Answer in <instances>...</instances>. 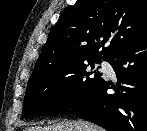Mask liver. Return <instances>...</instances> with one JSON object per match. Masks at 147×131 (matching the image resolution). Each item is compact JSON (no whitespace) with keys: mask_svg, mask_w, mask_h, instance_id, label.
I'll use <instances>...</instances> for the list:
<instances>
[{"mask_svg":"<svg viewBox=\"0 0 147 131\" xmlns=\"http://www.w3.org/2000/svg\"><path fill=\"white\" fill-rule=\"evenodd\" d=\"M26 131H103V130L90 122L78 120V121L61 122L46 127H41V126L29 127L26 128Z\"/></svg>","mask_w":147,"mask_h":131,"instance_id":"obj_1","label":"liver"}]
</instances>
